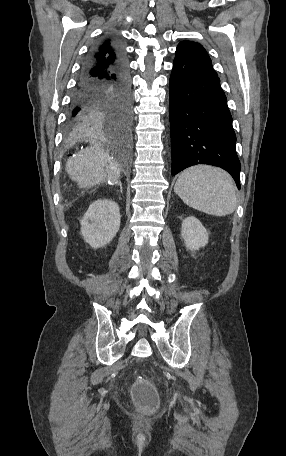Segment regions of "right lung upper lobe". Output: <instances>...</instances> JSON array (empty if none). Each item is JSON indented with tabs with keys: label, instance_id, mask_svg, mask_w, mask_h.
I'll return each instance as SVG.
<instances>
[{
	"label": "right lung upper lobe",
	"instance_id": "1",
	"mask_svg": "<svg viewBox=\"0 0 286 456\" xmlns=\"http://www.w3.org/2000/svg\"><path fill=\"white\" fill-rule=\"evenodd\" d=\"M96 74L105 72L110 67L125 66L120 47L110 39L104 40L93 51Z\"/></svg>",
	"mask_w": 286,
	"mask_h": 456
}]
</instances>
